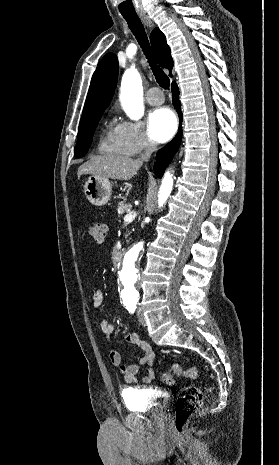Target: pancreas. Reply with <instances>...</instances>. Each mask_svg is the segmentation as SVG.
<instances>
[{"label":"pancreas","mask_w":279,"mask_h":465,"mask_svg":"<svg viewBox=\"0 0 279 465\" xmlns=\"http://www.w3.org/2000/svg\"><path fill=\"white\" fill-rule=\"evenodd\" d=\"M132 205L130 203H126L125 201H122L118 204L117 212L119 217H121L125 213L131 212Z\"/></svg>","instance_id":"1"}]
</instances>
